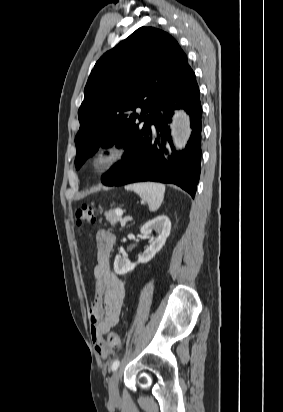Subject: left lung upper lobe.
Listing matches in <instances>:
<instances>
[{"mask_svg": "<svg viewBox=\"0 0 283 412\" xmlns=\"http://www.w3.org/2000/svg\"><path fill=\"white\" fill-rule=\"evenodd\" d=\"M191 71L177 41L152 27L139 28L106 52L89 76L78 111L76 169L99 147L126 148Z\"/></svg>", "mask_w": 283, "mask_h": 412, "instance_id": "5c2ea615", "label": "left lung upper lobe"}]
</instances>
